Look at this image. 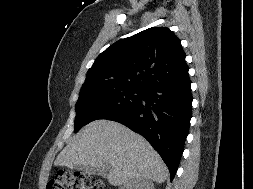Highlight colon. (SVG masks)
<instances>
[{
  "label": "colon",
  "mask_w": 253,
  "mask_h": 189,
  "mask_svg": "<svg viewBox=\"0 0 253 189\" xmlns=\"http://www.w3.org/2000/svg\"><path fill=\"white\" fill-rule=\"evenodd\" d=\"M46 189H104V184L82 172L59 169Z\"/></svg>",
  "instance_id": "obj_1"
}]
</instances>
